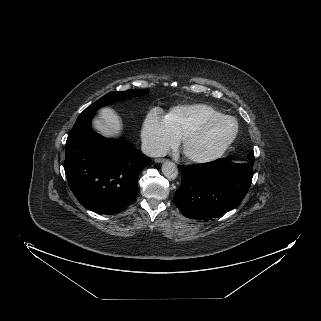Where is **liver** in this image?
Masks as SVG:
<instances>
[{"label": "liver", "instance_id": "6515ba94", "mask_svg": "<svg viewBox=\"0 0 321 321\" xmlns=\"http://www.w3.org/2000/svg\"><path fill=\"white\" fill-rule=\"evenodd\" d=\"M94 127L107 137H118L121 134L122 124L115 112L109 108H103L100 117L95 119Z\"/></svg>", "mask_w": 321, "mask_h": 321}]
</instances>
